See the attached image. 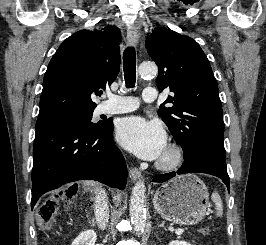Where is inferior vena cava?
Instances as JSON below:
<instances>
[{
  "label": "inferior vena cava",
  "mask_w": 266,
  "mask_h": 245,
  "mask_svg": "<svg viewBox=\"0 0 266 245\" xmlns=\"http://www.w3.org/2000/svg\"><path fill=\"white\" fill-rule=\"evenodd\" d=\"M107 193L99 191L95 197L94 213L99 229H105L109 219V209L107 203Z\"/></svg>",
  "instance_id": "602c4592"
}]
</instances>
